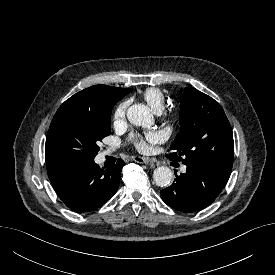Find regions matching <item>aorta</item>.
I'll list each match as a JSON object with an SVG mask.
<instances>
[{"mask_svg": "<svg viewBox=\"0 0 275 275\" xmlns=\"http://www.w3.org/2000/svg\"><path fill=\"white\" fill-rule=\"evenodd\" d=\"M127 119L135 126L150 127L153 116L150 109L143 104H134L127 110ZM173 178V172L166 166H161L153 172V180L157 186L166 187Z\"/></svg>", "mask_w": 275, "mask_h": 275, "instance_id": "aorta-1", "label": "aorta"}]
</instances>
